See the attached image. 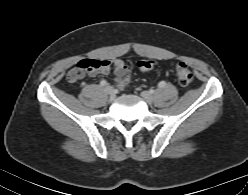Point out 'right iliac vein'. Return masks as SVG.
<instances>
[{"label": "right iliac vein", "instance_id": "obj_1", "mask_svg": "<svg viewBox=\"0 0 248 195\" xmlns=\"http://www.w3.org/2000/svg\"><path fill=\"white\" fill-rule=\"evenodd\" d=\"M105 92L110 96V98H114L115 97V93L114 90L111 86H106L105 87Z\"/></svg>", "mask_w": 248, "mask_h": 195}]
</instances>
